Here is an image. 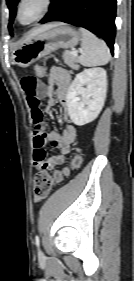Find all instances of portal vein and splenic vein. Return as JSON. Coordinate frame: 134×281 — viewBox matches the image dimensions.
I'll use <instances>...</instances> for the list:
<instances>
[{"label": "portal vein and splenic vein", "instance_id": "1", "mask_svg": "<svg viewBox=\"0 0 134 281\" xmlns=\"http://www.w3.org/2000/svg\"><path fill=\"white\" fill-rule=\"evenodd\" d=\"M71 54L74 55V56H77L78 55V51L77 50H73V51H71Z\"/></svg>", "mask_w": 134, "mask_h": 281}]
</instances>
